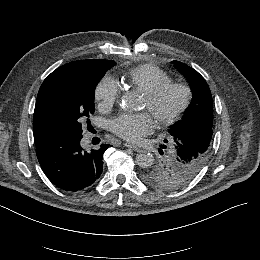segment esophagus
I'll return each instance as SVG.
<instances>
[{
    "label": "esophagus",
    "mask_w": 260,
    "mask_h": 260,
    "mask_svg": "<svg viewBox=\"0 0 260 260\" xmlns=\"http://www.w3.org/2000/svg\"><path fill=\"white\" fill-rule=\"evenodd\" d=\"M124 145H125L126 147H128V148L133 149V150L136 151V152H140V151H141V148L138 147V146H137L136 144H134V143L126 142Z\"/></svg>",
    "instance_id": "34e87169"
}]
</instances>
